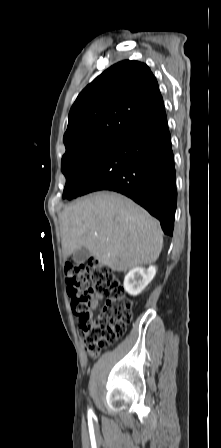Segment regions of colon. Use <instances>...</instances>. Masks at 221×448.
Listing matches in <instances>:
<instances>
[{
    "label": "colon",
    "instance_id": "obj_1",
    "mask_svg": "<svg viewBox=\"0 0 221 448\" xmlns=\"http://www.w3.org/2000/svg\"><path fill=\"white\" fill-rule=\"evenodd\" d=\"M67 292L71 310L79 318L78 333L87 350L97 356L115 343L132 319V305L113 271L97 260L69 262L66 266ZM104 298L101 313L92 317L96 299Z\"/></svg>",
    "mask_w": 221,
    "mask_h": 448
}]
</instances>
